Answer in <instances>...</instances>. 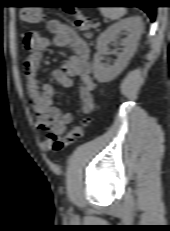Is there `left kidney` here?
Wrapping results in <instances>:
<instances>
[{
    "label": "left kidney",
    "mask_w": 170,
    "mask_h": 231,
    "mask_svg": "<svg viewBox=\"0 0 170 231\" xmlns=\"http://www.w3.org/2000/svg\"><path fill=\"white\" fill-rule=\"evenodd\" d=\"M122 31L128 33L127 38L121 42V45L124 46L123 52L118 55L113 66L106 67L101 61L103 55L107 52V45L115 41L117 35ZM142 31V19L135 16L128 17L110 26L98 37L96 46L97 52L94 55L93 63L94 77L98 82H109L125 69L137 48Z\"/></svg>",
    "instance_id": "5707ae66"
}]
</instances>
